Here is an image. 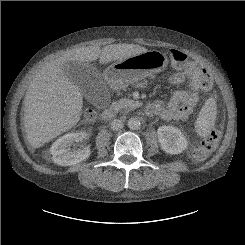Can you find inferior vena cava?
I'll use <instances>...</instances> for the list:
<instances>
[{
    "label": "inferior vena cava",
    "instance_id": "inferior-vena-cava-1",
    "mask_svg": "<svg viewBox=\"0 0 245 245\" xmlns=\"http://www.w3.org/2000/svg\"><path fill=\"white\" fill-rule=\"evenodd\" d=\"M123 128V122L120 119H114L111 122V129L118 131Z\"/></svg>",
    "mask_w": 245,
    "mask_h": 245
}]
</instances>
